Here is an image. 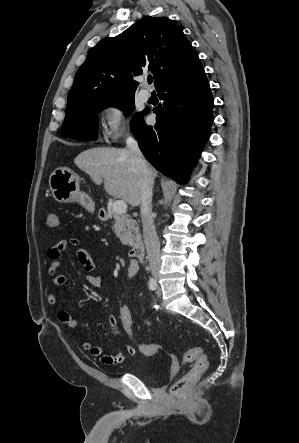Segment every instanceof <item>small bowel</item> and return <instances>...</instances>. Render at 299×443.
I'll use <instances>...</instances> for the list:
<instances>
[{"mask_svg":"<svg viewBox=\"0 0 299 443\" xmlns=\"http://www.w3.org/2000/svg\"><path fill=\"white\" fill-rule=\"evenodd\" d=\"M74 247L76 248V255L78 258V261L82 265L85 273L83 274L84 280L92 287H99L101 284V278L97 275H91V272L95 270V263L93 259L91 258L89 252L87 249L83 246H81L80 241L76 238H70V239H63L59 242H57L55 245H53L48 250V257L51 260L50 266H49V274L53 276V284L55 287L59 288L63 286L66 282V278L64 275L59 274V270L61 267V263L59 261L63 251L68 247ZM138 267L136 264H131L127 270V278L130 280L133 278L137 273ZM48 303L52 306H55L58 304V297L55 293H50L48 295ZM56 319L66 325L69 329H75L77 328V321L71 316L70 313H68L65 310H58L56 313ZM109 322L112 326L114 332H118V325L120 324L118 313H109ZM81 347L91 354L92 356L98 358L100 363L103 365H118L123 363L127 357H133L135 356L137 350L136 347L128 343L126 345L125 352H119L116 355H107L104 351V349L101 346L94 345L87 339L81 338L80 339Z\"/></svg>","mask_w":299,"mask_h":443,"instance_id":"small-bowel-1","label":"small bowel"}]
</instances>
